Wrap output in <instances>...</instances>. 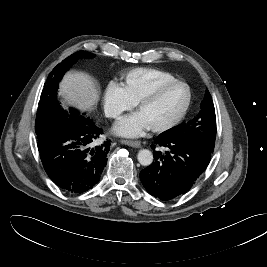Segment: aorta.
<instances>
[{
    "label": "aorta",
    "instance_id": "obj_1",
    "mask_svg": "<svg viewBox=\"0 0 267 267\" xmlns=\"http://www.w3.org/2000/svg\"><path fill=\"white\" fill-rule=\"evenodd\" d=\"M137 159L143 166H149L153 162V154L148 149H141L138 152Z\"/></svg>",
    "mask_w": 267,
    "mask_h": 267
}]
</instances>
